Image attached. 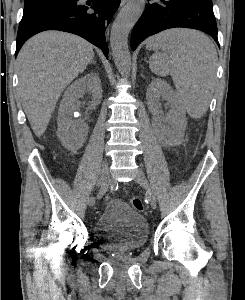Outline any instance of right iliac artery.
<instances>
[{
	"mask_svg": "<svg viewBox=\"0 0 245 300\" xmlns=\"http://www.w3.org/2000/svg\"><path fill=\"white\" fill-rule=\"evenodd\" d=\"M99 183L101 184V181ZM102 185L99 189L98 197L95 198L97 203H100V198L104 197L105 191H108V177H103Z\"/></svg>",
	"mask_w": 245,
	"mask_h": 300,
	"instance_id": "obj_1",
	"label": "right iliac artery"
}]
</instances>
